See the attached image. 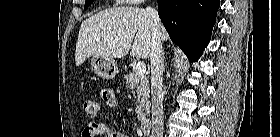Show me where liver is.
<instances>
[{
  "label": "liver",
  "mask_w": 280,
  "mask_h": 137,
  "mask_svg": "<svg viewBox=\"0 0 280 137\" xmlns=\"http://www.w3.org/2000/svg\"><path fill=\"white\" fill-rule=\"evenodd\" d=\"M160 36L163 41L169 39L162 25ZM152 38L153 22L146 10L137 7L106 9L81 24L76 43V66L91 56L122 58L130 49L131 56L147 59Z\"/></svg>",
  "instance_id": "liver-1"
}]
</instances>
